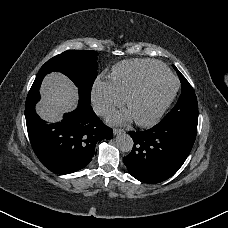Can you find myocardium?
<instances>
[{"label":"myocardium","instance_id":"1","mask_svg":"<svg viewBox=\"0 0 228 228\" xmlns=\"http://www.w3.org/2000/svg\"><path fill=\"white\" fill-rule=\"evenodd\" d=\"M159 79L172 80L174 82V87H173L171 93L169 94V96L166 98V100L161 104V106L158 108V110L155 112V114L149 120L143 121V120L136 119V123L140 126L152 127L159 121V119L164 114V112L166 111V109L168 108V106L170 105L171 101L173 100V98L175 96V93L178 88V81L174 76H172L170 74L156 75V76H153V77H150V78H147L146 80H144L126 98V106L129 108L131 102L136 97H138L140 94H142L152 83H154L155 81H157Z\"/></svg>","mask_w":228,"mask_h":228}]
</instances>
